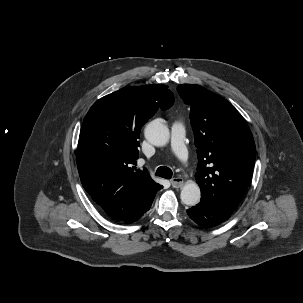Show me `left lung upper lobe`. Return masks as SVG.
Masks as SVG:
<instances>
[{
  "mask_svg": "<svg viewBox=\"0 0 303 303\" xmlns=\"http://www.w3.org/2000/svg\"><path fill=\"white\" fill-rule=\"evenodd\" d=\"M178 93L191 107L197 147L195 178L202 198L234 212L251 181L255 143L241 114L223 97L199 85L180 84Z\"/></svg>",
  "mask_w": 303,
  "mask_h": 303,
  "instance_id": "left-lung-upper-lobe-1",
  "label": "left lung upper lobe"
}]
</instances>
